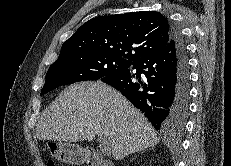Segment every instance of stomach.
Listing matches in <instances>:
<instances>
[{
	"instance_id": "obj_1",
	"label": "stomach",
	"mask_w": 231,
	"mask_h": 166,
	"mask_svg": "<svg viewBox=\"0 0 231 166\" xmlns=\"http://www.w3.org/2000/svg\"><path fill=\"white\" fill-rule=\"evenodd\" d=\"M47 147L52 157L64 163L80 164L86 159L85 150L72 142L51 141Z\"/></svg>"
}]
</instances>
